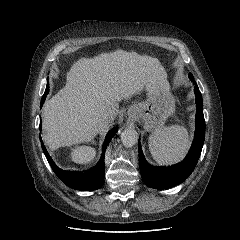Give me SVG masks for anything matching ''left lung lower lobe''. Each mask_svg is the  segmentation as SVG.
Masks as SVG:
<instances>
[{"label": "left lung lower lobe", "instance_id": "0a47b994", "mask_svg": "<svg viewBox=\"0 0 240 240\" xmlns=\"http://www.w3.org/2000/svg\"><path fill=\"white\" fill-rule=\"evenodd\" d=\"M189 78L194 84L197 109L194 140L186 158L181 163L171 167H155L146 161L139 143V165L141 176L145 184L151 188L167 189L182 183L193 172L201 155L205 138L202 95L191 73H189Z\"/></svg>", "mask_w": 240, "mask_h": 240}]
</instances>
